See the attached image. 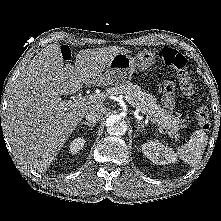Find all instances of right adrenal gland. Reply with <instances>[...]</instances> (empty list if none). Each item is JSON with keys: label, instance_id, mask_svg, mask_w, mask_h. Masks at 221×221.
<instances>
[{"label": "right adrenal gland", "instance_id": "1", "mask_svg": "<svg viewBox=\"0 0 221 221\" xmlns=\"http://www.w3.org/2000/svg\"><path fill=\"white\" fill-rule=\"evenodd\" d=\"M81 125H87V126H89L90 127V130H92V128L95 126V124L94 123H89V122H81L80 123Z\"/></svg>", "mask_w": 221, "mask_h": 221}]
</instances>
